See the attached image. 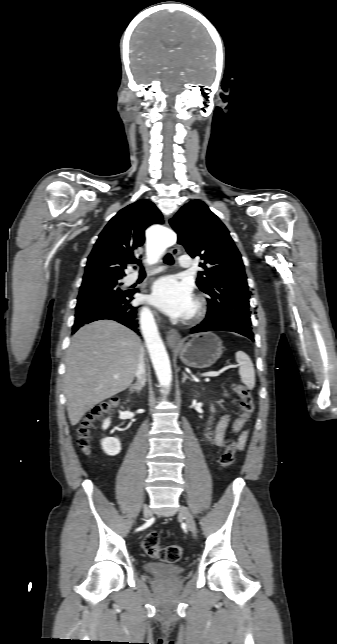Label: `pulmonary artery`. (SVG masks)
I'll return each mask as SVG.
<instances>
[{
    "instance_id": "1",
    "label": "pulmonary artery",
    "mask_w": 337,
    "mask_h": 644,
    "mask_svg": "<svg viewBox=\"0 0 337 644\" xmlns=\"http://www.w3.org/2000/svg\"><path fill=\"white\" fill-rule=\"evenodd\" d=\"M178 263L181 268H189L192 264V259L189 255H181L178 258ZM156 271H158V269L154 270L153 272H156ZM137 278H138L137 274H133L131 276V280L133 281L136 280Z\"/></svg>"
}]
</instances>
